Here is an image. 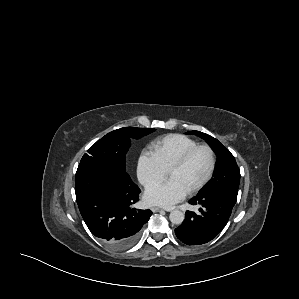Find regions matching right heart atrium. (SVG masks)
I'll list each match as a JSON object with an SVG mask.
<instances>
[{
	"instance_id": "d8ad5b80",
	"label": "right heart atrium",
	"mask_w": 299,
	"mask_h": 299,
	"mask_svg": "<svg viewBox=\"0 0 299 299\" xmlns=\"http://www.w3.org/2000/svg\"><path fill=\"white\" fill-rule=\"evenodd\" d=\"M136 172L137 178L143 186L159 182L167 175V171L162 167L156 155L148 150H143L140 153Z\"/></svg>"
}]
</instances>
